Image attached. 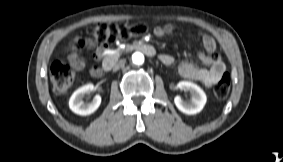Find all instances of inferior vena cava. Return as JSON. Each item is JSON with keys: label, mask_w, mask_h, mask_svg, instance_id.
I'll list each match as a JSON object with an SVG mask.
<instances>
[{"label": "inferior vena cava", "mask_w": 283, "mask_h": 162, "mask_svg": "<svg viewBox=\"0 0 283 162\" xmlns=\"http://www.w3.org/2000/svg\"><path fill=\"white\" fill-rule=\"evenodd\" d=\"M124 65H125V61L120 60V61H118L117 63L114 64L113 70L114 71L119 70L120 68L124 67Z\"/></svg>", "instance_id": "602c4592"}]
</instances>
